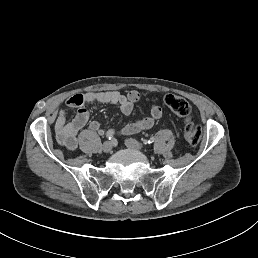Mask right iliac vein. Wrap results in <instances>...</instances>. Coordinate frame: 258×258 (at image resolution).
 Wrapping results in <instances>:
<instances>
[{
  "instance_id": "right-iliac-vein-1",
  "label": "right iliac vein",
  "mask_w": 258,
  "mask_h": 258,
  "mask_svg": "<svg viewBox=\"0 0 258 258\" xmlns=\"http://www.w3.org/2000/svg\"><path fill=\"white\" fill-rule=\"evenodd\" d=\"M112 149H113V146H112L111 143H109V142H104V143L102 144V150H103L104 152L109 153V152L112 151Z\"/></svg>"
}]
</instances>
